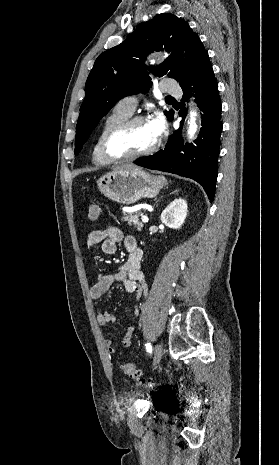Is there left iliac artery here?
Returning a JSON list of instances; mask_svg holds the SVG:
<instances>
[{
    "label": "left iliac artery",
    "mask_w": 279,
    "mask_h": 465,
    "mask_svg": "<svg viewBox=\"0 0 279 465\" xmlns=\"http://www.w3.org/2000/svg\"><path fill=\"white\" fill-rule=\"evenodd\" d=\"M145 346H146L147 352L152 353V346L149 343H146Z\"/></svg>",
    "instance_id": "obj_1"
}]
</instances>
